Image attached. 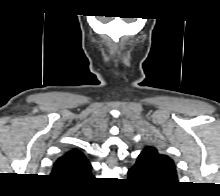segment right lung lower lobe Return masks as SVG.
Returning <instances> with one entry per match:
<instances>
[{
  "label": "right lung lower lobe",
  "mask_w": 220,
  "mask_h": 196,
  "mask_svg": "<svg viewBox=\"0 0 220 196\" xmlns=\"http://www.w3.org/2000/svg\"><path fill=\"white\" fill-rule=\"evenodd\" d=\"M89 178H92V175H90L87 179H89ZM67 183H70V184H76V183H78V182H69V181H66Z\"/></svg>",
  "instance_id": "obj_1"
}]
</instances>
